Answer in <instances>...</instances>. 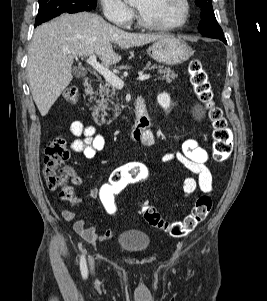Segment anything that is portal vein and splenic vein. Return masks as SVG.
I'll return each mask as SVG.
<instances>
[{
	"label": "portal vein and splenic vein",
	"instance_id": "18ae733b",
	"mask_svg": "<svg viewBox=\"0 0 267 301\" xmlns=\"http://www.w3.org/2000/svg\"><path fill=\"white\" fill-rule=\"evenodd\" d=\"M86 62L93 67L98 73H100L105 80L115 88L121 89L124 86V81L121 80L116 74L111 72L107 67L97 62L95 54L89 56ZM150 78V74L139 73L137 80L144 81Z\"/></svg>",
	"mask_w": 267,
	"mask_h": 301
}]
</instances>
